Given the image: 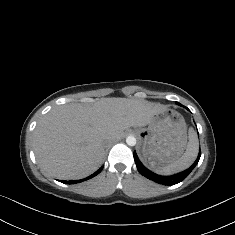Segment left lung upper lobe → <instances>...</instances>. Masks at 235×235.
I'll return each mask as SVG.
<instances>
[{"instance_id":"1","label":"left lung upper lobe","mask_w":235,"mask_h":235,"mask_svg":"<svg viewBox=\"0 0 235 235\" xmlns=\"http://www.w3.org/2000/svg\"><path fill=\"white\" fill-rule=\"evenodd\" d=\"M178 105L182 106L180 103L177 102Z\"/></svg>"}]
</instances>
